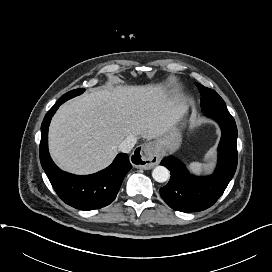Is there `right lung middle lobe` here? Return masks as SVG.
<instances>
[{
	"mask_svg": "<svg viewBox=\"0 0 272 272\" xmlns=\"http://www.w3.org/2000/svg\"><path fill=\"white\" fill-rule=\"evenodd\" d=\"M83 92H84L83 88H79V89L69 91L66 94H64L57 102L63 103V102L67 101L70 98H73V97H75L77 95L82 94Z\"/></svg>",
	"mask_w": 272,
	"mask_h": 272,
	"instance_id": "1",
	"label": "right lung middle lobe"
}]
</instances>
